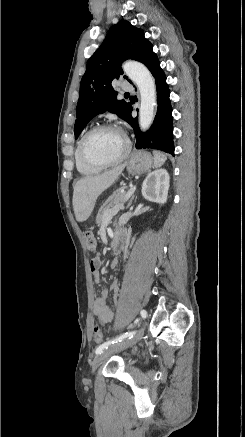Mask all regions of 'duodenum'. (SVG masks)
Wrapping results in <instances>:
<instances>
[{
    "label": "duodenum",
    "instance_id": "obj_1",
    "mask_svg": "<svg viewBox=\"0 0 245 437\" xmlns=\"http://www.w3.org/2000/svg\"><path fill=\"white\" fill-rule=\"evenodd\" d=\"M126 241V234L123 230H118L116 232L115 240L111 249L112 260L110 262V267L114 268L118 263V255L121 252V249Z\"/></svg>",
    "mask_w": 245,
    "mask_h": 437
}]
</instances>
